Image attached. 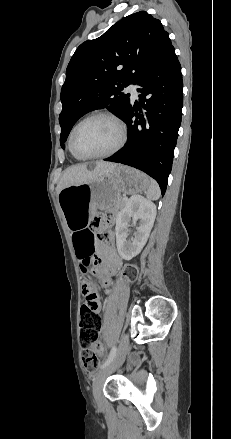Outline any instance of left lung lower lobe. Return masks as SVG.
Returning a JSON list of instances; mask_svg holds the SVG:
<instances>
[{"label":"left lung lower lobe","mask_w":231,"mask_h":439,"mask_svg":"<svg viewBox=\"0 0 231 439\" xmlns=\"http://www.w3.org/2000/svg\"><path fill=\"white\" fill-rule=\"evenodd\" d=\"M137 85L141 87L139 103H130L121 117L128 127V141L124 148L105 160L147 173L158 182L164 195L183 107L181 66L173 46ZM134 116L136 119L132 120Z\"/></svg>","instance_id":"obj_1"}]
</instances>
